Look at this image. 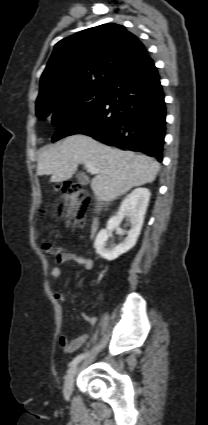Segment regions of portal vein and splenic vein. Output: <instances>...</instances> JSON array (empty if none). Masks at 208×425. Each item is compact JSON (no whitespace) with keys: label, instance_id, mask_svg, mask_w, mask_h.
<instances>
[{"label":"portal vein and splenic vein","instance_id":"1","mask_svg":"<svg viewBox=\"0 0 208 425\" xmlns=\"http://www.w3.org/2000/svg\"><path fill=\"white\" fill-rule=\"evenodd\" d=\"M85 167L92 173V174H97L100 172L99 169H97L92 163L90 162H86L84 163Z\"/></svg>","mask_w":208,"mask_h":425}]
</instances>
